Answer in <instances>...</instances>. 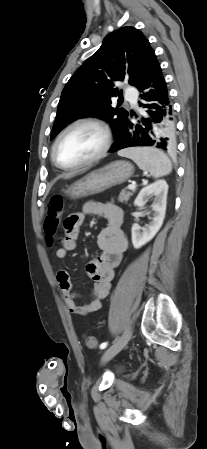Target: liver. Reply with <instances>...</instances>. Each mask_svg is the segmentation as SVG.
I'll use <instances>...</instances> for the list:
<instances>
[{
  "label": "liver",
  "mask_w": 207,
  "mask_h": 449,
  "mask_svg": "<svg viewBox=\"0 0 207 449\" xmlns=\"http://www.w3.org/2000/svg\"><path fill=\"white\" fill-rule=\"evenodd\" d=\"M76 175V172L67 173L62 176L63 179H70Z\"/></svg>",
  "instance_id": "6515ba94"
}]
</instances>
